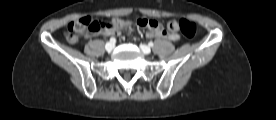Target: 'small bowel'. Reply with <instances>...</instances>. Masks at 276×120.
<instances>
[{
  "label": "small bowel",
  "instance_id": "small-bowel-1",
  "mask_svg": "<svg viewBox=\"0 0 276 120\" xmlns=\"http://www.w3.org/2000/svg\"><path fill=\"white\" fill-rule=\"evenodd\" d=\"M151 25L147 26L148 32L146 33V36L148 38H166L171 41H177L179 39V35L177 33H169L164 30L162 25L157 22L156 20H150ZM104 35H111L113 32L107 31L103 32Z\"/></svg>",
  "mask_w": 276,
  "mask_h": 120
}]
</instances>
